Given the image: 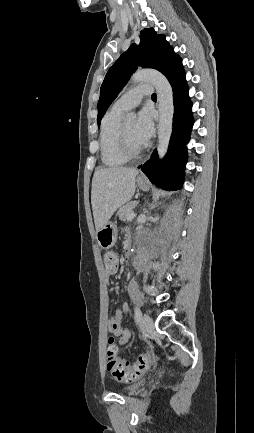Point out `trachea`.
<instances>
[{"mask_svg":"<svg viewBox=\"0 0 254 433\" xmlns=\"http://www.w3.org/2000/svg\"><path fill=\"white\" fill-rule=\"evenodd\" d=\"M152 99H157V95L155 93L152 94Z\"/></svg>","mask_w":254,"mask_h":433,"instance_id":"obj_1","label":"trachea"}]
</instances>
